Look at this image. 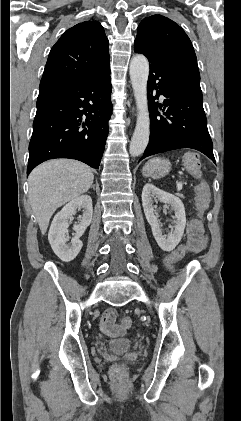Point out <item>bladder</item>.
Segmentation results:
<instances>
[{"label": "bladder", "instance_id": "obj_1", "mask_svg": "<svg viewBox=\"0 0 241 421\" xmlns=\"http://www.w3.org/2000/svg\"><path fill=\"white\" fill-rule=\"evenodd\" d=\"M108 347L116 353H124L133 347V342L129 339H116L109 342Z\"/></svg>", "mask_w": 241, "mask_h": 421}]
</instances>
